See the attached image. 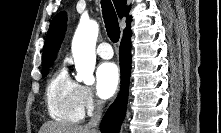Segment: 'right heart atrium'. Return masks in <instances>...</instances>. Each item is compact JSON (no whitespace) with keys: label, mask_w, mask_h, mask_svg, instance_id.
<instances>
[{"label":"right heart atrium","mask_w":221,"mask_h":133,"mask_svg":"<svg viewBox=\"0 0 221 133\" xmlns=\"http://www.w3.org/2000/svg\"><path fill=\"white\" fill-rule=\"evenodd\" d=\"M80 101L82 107L88 113L94 112L100 105V101L95 97L93 90L89 86H80Z\"/></svg>","instance_id":"d8ad5b80"}]
</instances>
